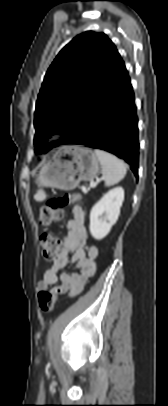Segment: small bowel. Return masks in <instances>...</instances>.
<instances>
[{
	"label": "small bowel",
	"mask_w": 168,
	"mask_h": 406,
	"mask_svg": "<svg viewBox=\"0 0 168 406\" xmlns=\"http://www.w3.org/2000/svg\"><path fill=\"white\" fill-rule=\"evenodd\" d=\"M73 218L67 222V234L62 239L61 249L51 259V264L45 270L43 278L37 283V290L51 288V292L74 297L82 292L88 280L96 272L98 247L88 243V233L85 227V214L81 207L72 210ZM71 264L78 272H62L66 265Z\"/></svg>",
	"instance_id": "obj_1"
}]
</instances>
